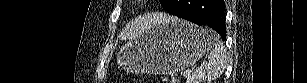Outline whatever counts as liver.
<instances>
[{
	"instance_id": "obj_1",
	"label": "liver",
	"mask_w": 307,
	"mask_h": 83,
	"mask_svg": "<svg viewBox=\"0 0 307 83\" xmlns=\"http://www.w3.org/2000/svg\"><path fill=\"white\" fill-rule=\"evenodd\" d=\"M172 18H174V17H172V16H162L161 18L153 17L151 20H147V21H149V22H162V21L169 20V19H172ZM142 23L143 22L136 21L132 24L127 25L125 27V29L122 31L121 38H128V37L134 38V37L138 36L141 28L143 27Z\"/></svg>"
}]
</instances>
